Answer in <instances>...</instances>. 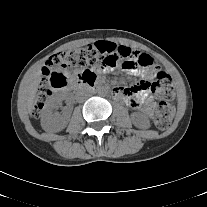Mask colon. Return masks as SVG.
Returning a JSON list of instances; mask_svg holds the SVG:
<instances>
[{
	"label": "colon",
	"instance_id": "obj_1",
	"mask_svg": "<svg viewBox=\"0 0 207 207\" xmlns=\"http://www.w3.org/2000/svg\"><path fill=\"white\" fill-rule=\"evenodd\" d=\"M156 59L152 55H145L142 51H134L126 46H118L112 42L98 41L84 47L58 52L50 57L43 69V78L38 88L34 115L42 108L43 103L51 94V88H61L67 85V78L62 70L70 67H96L100 69H123L141 67L145 74H152L156 70ZM93 77L91 72H84L80 79ZM149 87L156 94V126L164 130L170 125L174 108L171 101L175 96V89L170 75L165 71H158Z\"/></svg>",
	"mask_w": 207,
	"mask_h": 207
}]
</instances>
